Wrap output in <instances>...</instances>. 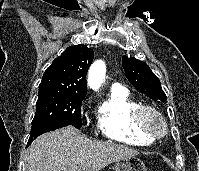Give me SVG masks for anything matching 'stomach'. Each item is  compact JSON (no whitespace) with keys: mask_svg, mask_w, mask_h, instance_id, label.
Wrapping results in <instances>:
<instances>
[{"mask_svg":"<svg viewBox=\"0 0 199 171\" xmlns=\"http://www.w3.org/2000/svg\"><path fill=\"white\" fill-rule=\"evenodd\" d=\"M113 171H147L143 161L135 156L116 161Z\"/></svg>","mask_w":199,"mask_h":171,"instance_id":"stomach-1","label":"stomach"}]
</instances>
